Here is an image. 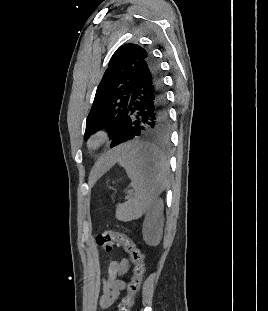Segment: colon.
Masks as SVG:
<instances>
[{"mask_svg":"<svg viewBox=\"0 0 268 311\" xmlns=\"http://www.w3.org/2000/svg\"><path fill=\"white\" fill-rule=\"evenodd\" d=\"M97 244L104 251L109 252L114 246L122 247L129 255L133 264V276L127 286V294L119 304V311H131L135 297L140 290L145 272L144 257L140 249L125 233L104 230L97 236Z\"/></svg>","mask_w":268,"mask_h":311,"instance_id":"1","label":"colon"}]
</instances>
